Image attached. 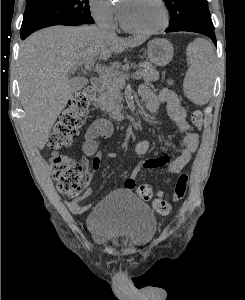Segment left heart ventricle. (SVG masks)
<instances>
[{"mask_svg":"<svg viewBox=\"0 0 245 300\" xmlns=\"http://www.w3.org/2000/svg\"><path fill=\"white\" fill-rule=\"evenodd\" d=\"M120 11L128 25L139 29L155 28L164 20L158 0H123Z\"/></svg>","mask_w":245,"mask_h":300,"instance_id":"obj_1","label":"left heart ventricle"}]
</instances>
